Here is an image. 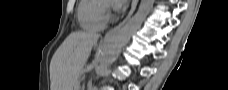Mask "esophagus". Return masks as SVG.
<instances>
[{
	"label": "esophagus",
	"instance_id": "1",
	"mask_svg": "<svg viewBox=\"0 0 228 90\" xmlns=\"http://www.w3.org/2000/svg\"><path fill=\"white\" fill-rule=\"evenodd\" d=\"M138 0H133L132 1V5H131V9L128 13V15L126 16V18L120 22L117 26H115L114 28L110 29L106 35H105V39L113 36L125 23L126 21L131 17V15L134 13L136 6H137Z\"/></svg>",
	"mask_w": 228,
	"mask_h": 90
}]
</instances>
